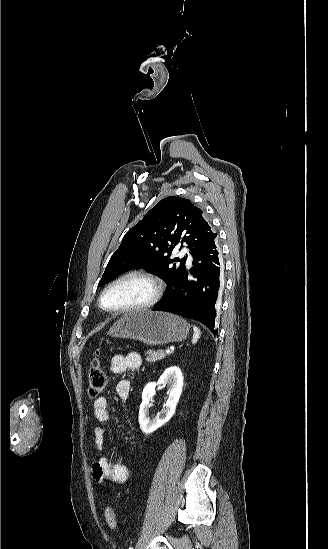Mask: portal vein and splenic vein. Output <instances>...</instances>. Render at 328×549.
I'll return each instance as SVG.
<instances>
[{"instance_id": "1", "label": "portal vein and splenic vein", "mask_w": 328, "mask_h": 549, "mask_svg": "<svg viewBox=\"0 0 328 549\" xmlns=\"http://www.w3.org/2000/svg\"><path fill=\"white\" fill-rule=\"evenodd\" d=\"M165 353H170L169 349H168V350H165Z\"/></svg>"}]
</instances>
